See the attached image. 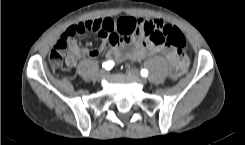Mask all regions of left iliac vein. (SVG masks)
I'll return each mask as SVG.
<instances>
[{
	"instance_id": "obj_1",
	"label": "left iliac vein",
	"mask_w": 245,
	"mask_h": 145,
	"mask_svg": "<svg viewBox=\"0 0 245 145\" xmlns=\"http://www.w3.org/2000/svg\"><path fill=\"white\" fill-rule=\"evenodd\" d=\"M126 72L128 76L135 79L138 83L142 85L147 83V80L140 76V73L136 68H129Z\"/></svg>"
}]
</instances>
